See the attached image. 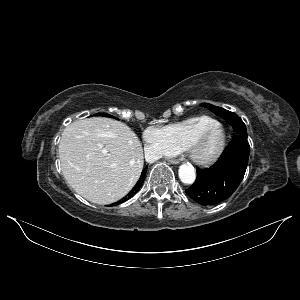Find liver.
I'll return each mask as SVG.
<instances>
[{
	"label": "liver",
	"mask_w": 300,
	"mask_h": 300,
	"mask_svg": "<svg viewBox=\"0 0 300 300\" xmlns=\"http://www.w3.org/2000/svg\"><path fill=\"white\" fill-rule=\"evenodd\" d=\"M58 151L68 184L96 204L123 198L138 181L144 164L136 134L126 124L105 117L71 123L62 133Z\"/></svg>",
	"instance_id": "1"
}]
</instances>
